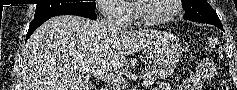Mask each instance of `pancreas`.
Listing matches in <instances>:
<instances>
[{
  "label": "pancreas",
  "mask_w": 237,
  "mask_h": 90,
  "mask_svg": "<svg viewBox=\"0 0 237 90\" xmlns=\"http://www.w3.org/2000/svg\"><path fill=\"white\" fill-rule=\"evenodd\" d=\"M166 69H172V64H165V67L153 68L152 66L147 72H143L142 78H144V80H151L152 84H154L156 80H166V78L172 76V70Z\"/></svg>",
  "instance_id": "obj_1"
}]
</instances>
